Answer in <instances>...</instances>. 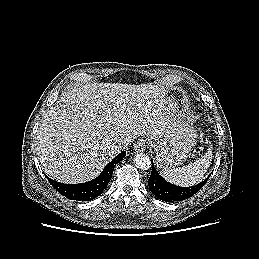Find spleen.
Instances as JSON below:
<instances>
[{"label": "spleen", "instance_id": "3e777b00", "mask_svg": "<svg viewBox=\"0 0 259 259\" xmlns=\"http://www.w3.org/2000/svg\"><path fill=\"white\" fill-rule=\"evenodd\" d=\"M212 161V151L211 146L208 147L207 152L201 156L200 159L196 160L194 163L189 165L172 168V169H162L160 174L168 182L179 186H192L199 183L204 174L207 172Z\"/></svg>", "mask_w": 259, "mask_h": 259}]
</instances>
